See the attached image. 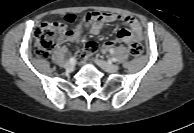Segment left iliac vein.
Wrapping results in <instances>:
<instances>
[{"instance_id": "obj_1", "label": "left iliac vein", "mask_w": 194, "mask_h": 133, "mask_svg": "<svg viewBox=\"0 0 194 133\" xmlns=\"http://www.w3.org/2000/svg\"><path fill=\"white\" fill-rule=\"evenodd\" d=\"M96 62L106 72L116 73L119 70L118 65H115V64H112V63H109V62H106L100 59H96Z\"/></svg>"}]
</instances>
